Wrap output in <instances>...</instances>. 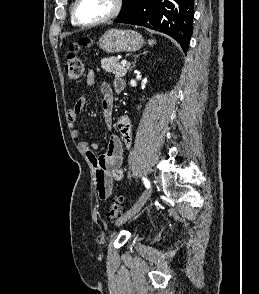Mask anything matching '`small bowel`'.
Segmentation results:
<instances>
[{
  "mask_svg": "<svg viewBox=\"0 0 259 294\" xmlns=\"http://www.w3.org/2000/svg\"><path fill=\"white\" fill-rule=\"evenodd\" d=\"M95 76L93 72H89L86 79L87 86L94 83ZM125 82L121 78H116L113 82V89L106 83L101 84L100 93L101 112L102 116L109 128H112V111H113V91L120 93L124 90ZM87 102L86 95L80 96L75 104L68 109L69 122L74 125L79 113L84 109ZM120 136L112 134L107 150L101 155H97L94 149L97 145H89L82 141L79 143L81 150L85 153L89 161L92 163L95 170L96 189L101 200H106L113 189V184L116 181L123 179L124 172L122 169V159L124 148L128 149L132 142V128L131 123L126 115H121L118 122ZM72 137L79 136V130L72 129Z\"/></svg>",
  "mask_w": 259,
  "mask_h": 294,
  "instance_id": "small-bowel-1",
  "label": "small bowel"
}]
</instances>
